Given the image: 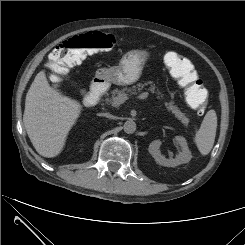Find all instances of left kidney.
<instances>
[{
    "mask_svg": "<svg viewBox=\"0 0 245 245\" xmlns=\"http://www.w3.org/2000/svg\"><path fill=\"white\" fill-rule=\"evenodd\" d=\"M175 141L180 145L181 152L174 159H167L161 154L160 140L152 141L149 145L148 151L155 161L162 166L176 167L178 165L188 163L191 160L192 155L188 148L186 139L183 136H176Z\"/></svg>",
    "mask_w": 245,
    "mask_h": 245,
    "instance_id": "1",
    "label": "left kidney"
}]
</instances>
